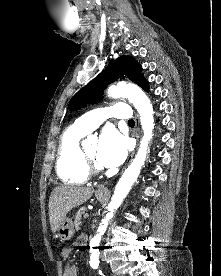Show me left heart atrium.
Wrapping results in <instances>:
<instances>
[{
  "mask_svg": "<svg viewBox=\"0 0 221 276\" xmlns=\"http://www.w3.org/2000/svg\"><path fill=\"white\" fill-rule=\"evenodd\" d=\"M127 155L126 139L115 129H105L99 140L97 160L106 167L120 165Z\"/></svg>",
  "mask_w": 221,
  "mask_h": 276,
  "instance_id": "left-heart-atrium-1",
  "label": "left heart atrium"
}]
</instances>
